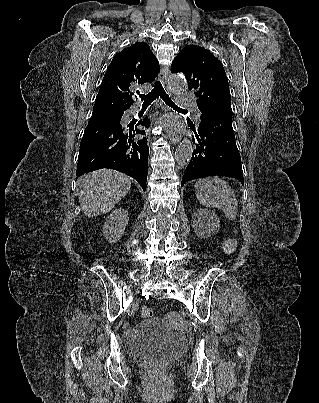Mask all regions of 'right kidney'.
<instances>
[{
	"label": "right kidney",
	"instance_id": "1",
	"mask_svg": "<svg viewBox=\"0 0 319 403\" xmlns=\"http://www.w3.org/2000/svg\"><path fill=\"white\" fill-rule=\"evenodd\" d=\"M129 222L127 210L122 208L115 209L106 219L103 227V235L107 241L114 243L119 240Z\"/></svg>",
	"mask_w": 319,
	"mask_h": 403
}]
</instances>
